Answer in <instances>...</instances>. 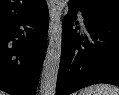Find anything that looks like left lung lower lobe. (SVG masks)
<instances>
[{
  "label": "left lung lower lobe",
  "instance_id": "obj_1",
  "mask_svg": "<svg viewBox=\"0 0 119 95\" xmlns=\"http://www.w3.org/2000/svg\"><path fill=\"white\" fill-rule=\"evenodd\" d=\"M82 12L86 33L73 29L76 12ZM119 86V20L88 13L69 3L63 20V39L56 95H69L86 86Z\"/></svg>",
  "mask_w": 119,
  "mask_h": 95
}]
</instances>
